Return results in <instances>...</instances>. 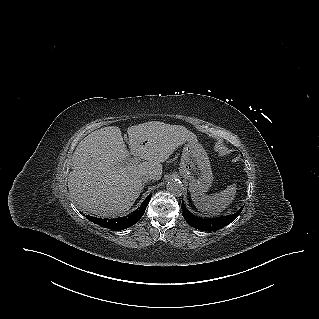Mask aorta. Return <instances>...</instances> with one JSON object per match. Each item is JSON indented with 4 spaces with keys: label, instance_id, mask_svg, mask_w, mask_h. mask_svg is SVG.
<instances>
[{
    "label": "aorta",
    "instance_id": "obj_1",
    "mask_svg": "<svg viewBox=\"0 0 319 319\" xmlns=\"http://www.w3.org/2000/svg\"><path fill=\"white\" fill-rule=\"evenodd\" d=\"M167 190L174 196H181L185 191V187L181 181L172 180L167 183Z\"/></svg>",
    "mask_w": 319,
    "mask_h": 319
}]
</instances>
